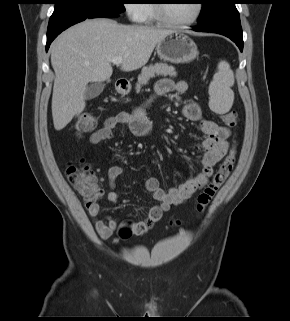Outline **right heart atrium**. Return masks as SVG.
Returning a JSON list of instances; mask_svg holds the SVG:
<instances>
[{"label":"right heart atrium","mask_w":290,"mask_h":321,"mask_svg":"<svg viewBox=\"0 0 290 321\" xmlns=\"http://www.w3.org/2000/svg\"><path fill=\"white\" fill-rule=\"evenodd\" d=\"M135 0H126L124 5L125 13L131 21H140L142 18V8L141 5L135 3Z\"/></svg>","instance_id":"right-heart-atrium-1"}]
</instances>
